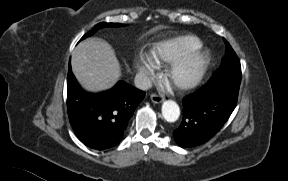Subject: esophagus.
Listing matches in <instances>:
<instances>
[{
  "label": "esophagus",
  "instance_id": "1",
  "mask_svg": "<svg viewBox=\"0 0 288 181\" xmlns=\"http://www.w3.org/2000/svg\"><path fill=\"white\" fill-rule=\"evenodd\" d=\"M151 100H152V102L159 104L164 100V97L160 94H152Z\"/></svg>",
  "mask_w": 288,
  "mask_h": 181
}]
</instances>
